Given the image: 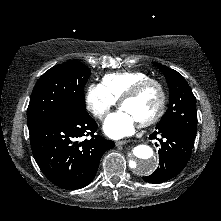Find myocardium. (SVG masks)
I'll use <instances>...</instances> for the list:
<instances>
[{
    "label": "myocardium",
    "instance_id": "1",
    "mask_svg": "<svg viewBox=\"0 0 221 221\" xmlns=\"http://www.w3.org/2000/svg\"><path fill=\"white\" fill-rule=\"evenodd\" d=\"M149 85H156L158 87L160 92V104L153 116L142 122H139V125L142 127L150 126L156 123L163 116L167 103V94L164 85L157 79L148 78L135 84L120 98V106L122 107L126 101L138 96Z\"/></svg>",
    "mask_w": 221,
    "mask_h": 221
}]
</instances>
